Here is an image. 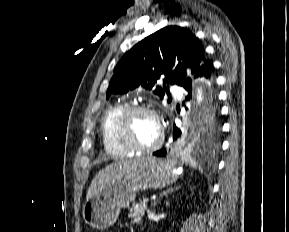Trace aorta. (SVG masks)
<instances>
[{"label": "aorta", "mask_w": 289, "mask_h": 232, "mask_svg": "<svg viewBox=\"0 0 289 232\" xmlns=\"http://www.w3.org/2000/svg\"><path fill=\"white\" fill-rule=\"evenodd\" d=\"M197 106L203 107L202 115L198 121L204 119V117H207L209 113L212 111V104H211L210 96H208L206 91H204L202 88L200 89L198 88L197 90Z\"/></svg>", "instance_id": "obj_1"}]
</instances>
